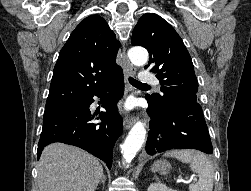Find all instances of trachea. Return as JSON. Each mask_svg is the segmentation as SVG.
<instances>
[{
	"label": "trachea",
	"mask_w": 251,
	"mask_h": 191,
	"mask_svg": "<svg viewBox=\"0 0 251 191\" xmlns=\"http://www.w3.org/2000/svg\"><path fill=\"white\" fill-rule=\"evenodd\" d=\"M129 82L133 86H143V87H150V85H147L146 83H142L141 81L135 80L132 77H129Z\"/></svg>",
	"instance_id": "3493384b"
}]
</instances>
